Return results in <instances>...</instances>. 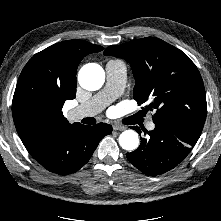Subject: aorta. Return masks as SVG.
<instances>
[{
  "label": "aorta",
  "mask_w": 221,
  "mask_h": 221,
  "mask_svg": "<svg viewBox=\"0 0 221 221\" xmlns=\"http://www.w3.org/2000/svg\"><path fill=\"white\" fill-rule=\"evenodd\" d=\"M80 85L90 91L98 90L105 81V73L102 67L96 63L84 65L78 73ZM120 146L128 151H133L139 146V137L134 130H126L119 136Z\"/></svg>",
  "instance_id": "aorta-1"
}]
</instances>
